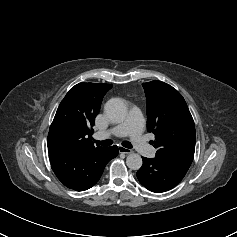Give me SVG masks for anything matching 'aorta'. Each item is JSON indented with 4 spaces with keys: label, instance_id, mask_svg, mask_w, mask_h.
Instances as JSON below:
<instances>
[{
    "label": "aorta",
    "instance_id": "aorta-1",
    "mask_svg": "<svg viewBox=\"0 0 237 237\" xmlns=\"http://www.w3.org/2000/svg\"><path fill=\"white\" fill-rule=\"evenodd\" d=\"M104 112L112 121L120 123L127 115V106L119 98L110 99L104 106ZM126 164L131 170H139L143 164L139 154L132 153L127 156Z\"/></svg>",
    "mask_w": 237,
    "mask_h": 237
}]
</instances>
